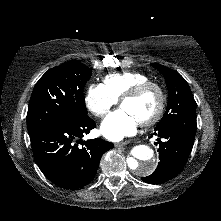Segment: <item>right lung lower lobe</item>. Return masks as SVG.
I'll use <instances>...</instances> for the list:
<instances>
[{
    "label": "right lung lower lobe",
    "instance_id": "obj_1",
    "mask_svg": "<svg viewBox=\"0 0 221 221\" xmlns=\"http://www.w3.org/2000/svg\"><path fill=\"white\" fill-rule=\"evenodd\" d=\"M95 126L88 115H80L67 124L30 134L35 161L51 182L64 189H77L92 181L102 155L114 147L100 138L81 140Z\"/></svg>",
    "mask_w": 221,
    "mask_h": 221
}]
</instances>
